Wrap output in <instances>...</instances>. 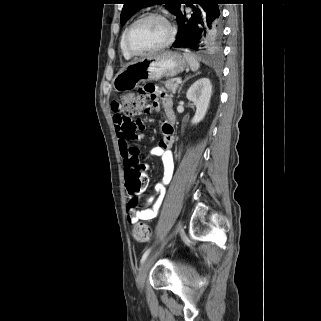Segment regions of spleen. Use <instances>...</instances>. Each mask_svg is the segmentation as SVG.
Masks as SVG:
<instances>
[{
    "label": "spleen",
    "mask_w": 321,
    "mask_h": 321,
    "mask_svg": "<svg viewBox=\"0 0 321 321\" xmlns=\"http://www.w3.org/2000/svg\"><path fill=\"white\" fill-rule=\"evenodd\" d=\"M184 58L188 62L190 69L192 71H197L200 67L199 62L197 61L195 55L188 50H185L183 53Z\"/></svg>",
    "instance_id": "3e777b00"
}]
</instances>
